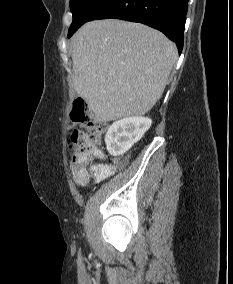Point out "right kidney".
I'll use <instances>...</instances> for the list:
<instances>
[{"mask_svg":"<svg viewBox=\"0 0 233 284\" xmlns=\"http://www.w3.org/2000/svg\"><path fill=\"white\" fill-rule=\"evenodd\" d=\"M152 120L147 117H129L114 122L105 136L108 152L113 156L123 155L151 127Z\"/></svg>","mask_w":233,"mask_h":284,"instance_id":"1","label":"right kidney"}]
</instances>
